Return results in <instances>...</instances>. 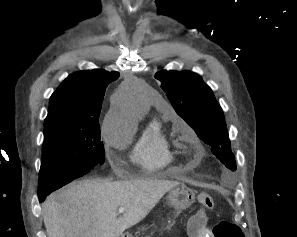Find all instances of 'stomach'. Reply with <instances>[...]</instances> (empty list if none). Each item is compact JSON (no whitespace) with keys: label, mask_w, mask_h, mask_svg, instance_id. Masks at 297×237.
<instances>
[{"label":"stomach","mask_w":297,"mask_h":237,"mask_svg":"<svg viewBox=\"0 0 297 237\" xmlns=\"http://www.w3.org/2000/svg\"><path fill=\"white\" fill-rule=\"evenodd\" d=\"M167 199L170 206L177 211H181L191 206L194 202L195 194L185 186H177L169 192ZM121 237L133 236L130 233H124Z\"/></svg>","instance_id":"stomach-1"}]
</instances>
